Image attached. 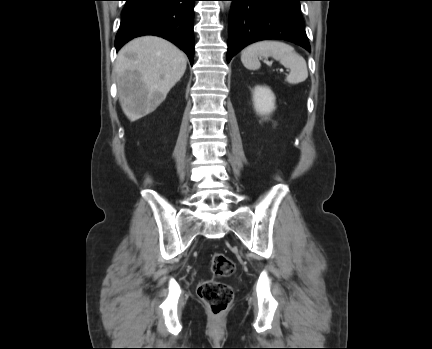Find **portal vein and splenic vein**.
<instances>
[{
  "label": "portal vein and splenic vein",
  "mask_w": 432,
  "mask_h": 349,
  "mask_svg": "<svg viewBox=\"0 0 432 349\" xmlns=\"http://www.w3.org/2000/svg\"><path fill=\"white\" fill-rule=\"evenodd\" d=\"M266 63L269 65L271 64V62H269V61H266ZM280 71H283V69H280Z\"/></svg>",
  "instance_id": "1"
}]
</instances>
